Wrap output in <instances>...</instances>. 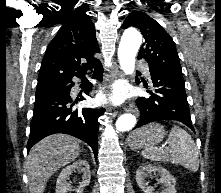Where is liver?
I'll return each mask as SVG.
<instances>
[{
    "label": "liver",
    "instance_id": "1",
    "mask_svg": "<svg viewBox=\"0 0 221 193\" xmlns=\"http://www.w3.org/2000/svg\"><path fill=\"white\" fill-rule=\"evenodd\" d=\"M79 154V141L66 134H53L35 144L26 161L30 193H43L48 179Z\"/></svg>",
    "mask_w": 221,
    "mask_h": 193
}]
</instances>
